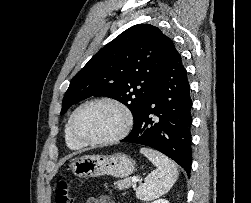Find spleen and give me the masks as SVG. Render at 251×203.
<instances>
[{
  "label": "spleen",
  "instance_id": "obj_1",
  "mask_svg": "<svg viewBox=\"0 0 251 203\" xmlns=\"http://www.w3.org/2000/svg\"><path fill=\"white\" fill-rule=\"evenodd\" d=\"M140 153L156 166V170L136 190L137 198L147 202L159 198L171 189L178 178V170L172 160L156 150L143 147Z\"/></svg>",
  "mask_w": 251,
  "mask_h": 203
}]
</instances>
